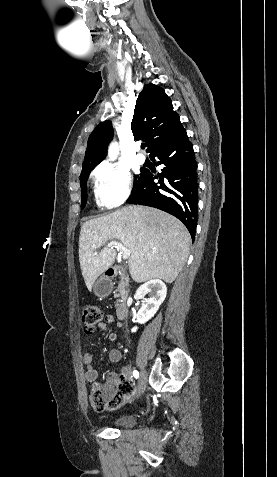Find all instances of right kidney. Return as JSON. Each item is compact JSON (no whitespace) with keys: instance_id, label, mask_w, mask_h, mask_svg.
Instances as JSON below:
<instances>
[{"instance_id":"ca27d5eb","label":"right kidney","mask_w":277,"mask_h":477,"mask_svg":"<svg viewBox=\"0 0 277 477\" xmlns=\"http://www.w3.org/2000/svg\"><path fill=\"white\" fill-rule=\"evenodd\" d=\"M146 294H149L148 299H144ZM166 294L167 287L160 279H153L141 285L136 291V296L144 301L137 314V322L144 324L150 320L165 300ZM136 330L137 327L132 328V332Z\"/></svg>"}]
</instances>
